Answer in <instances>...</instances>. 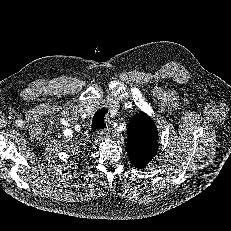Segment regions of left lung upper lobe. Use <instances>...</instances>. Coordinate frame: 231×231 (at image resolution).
Instances as JSON below:
<instances>
[{"label":"left lung upper lobe","instance_id":"5c2ea615","mask_svg":"<svg viewBox=\"0 0 231 231\" xmlns=\"http://www.w3.org/2000/svg\"><path fill=\"white\" fill-rule=\"evenodd\" d=\"M158 132L153 121L145 113L133 116L128 124L126 151L138 169L148 164L157 152Z\"/></svg>","mask_w":231,"mask_h":231}]
</instances>
